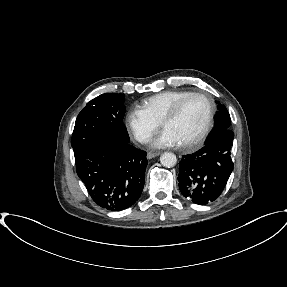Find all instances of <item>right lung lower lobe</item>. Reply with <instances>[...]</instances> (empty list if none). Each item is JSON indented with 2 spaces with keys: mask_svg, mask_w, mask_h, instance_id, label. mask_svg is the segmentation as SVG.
<instances>
[{
  "mask_svg": "<svg viewBox=\"0 0 287 287\" xmlns=\"http://www.w3.org/2000/svg\"><path fill=\"white\" fill-rule=\"evenodd\" d=\"M74 155L77 174L96 204L121 211L139 199L148 164L145 151L129 143L97 141Z\"/></svg>",
  "mask_w": 287,
  "mask_h": 287,
  "instance_id": "98d812e1",
  "label": "right lung lower lobe"
}]
</instances>
